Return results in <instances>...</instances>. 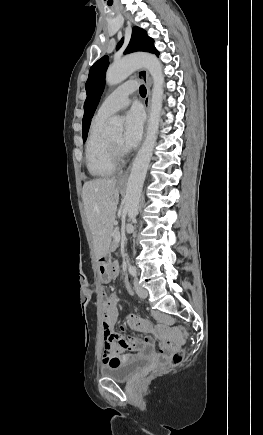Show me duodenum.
<instances>
[{"instance_id":"duodenum-1","label":"duodenum","mask_w":263,"mask_h":435,"mask_svg":"<svg viewBox=\"0 0 263 435\" xmlns=\"http://www.w3.org/2000/svg\"><path fill=\"white\" fill-rule=\"evenodd\" d=\"M126 286H127V288L129 289V285H128V284H126Z\"/></svg>"}]
</instances>
